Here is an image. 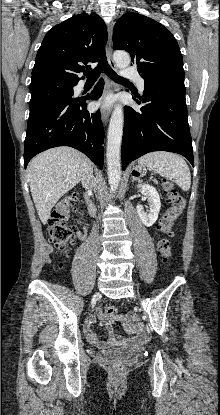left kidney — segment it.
<instances>
[{"label": "left kidney", "mask_w": 220, "mask_h": 415, "mask_svg": "<svg viewBox=\"0 0 220 415\" xmlns=\"http://www.w3.org/2000/svg\"><path fill=\"white\" fill-rule=\"evenodd\" d=\"M137 188L141 190V193L147 197L149 202V211L148 213L144 211L142 206H137V213L139 215L142 223L150 227L152 226L157 218L161 208L160 197L157 190L149 184H138Z\"/></svg>", "instance_id": "obj_1"}]
</instances>
